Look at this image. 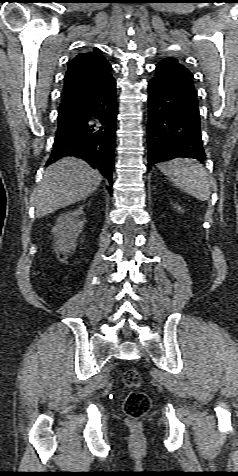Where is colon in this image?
I'll use <instances>...</instances> for the list:
<instances>
[{"mask_svg": "<svg viewBox=\"0 0 238 476\" xmlns=\"http://www.w3.org/2000/svg\"><path fill=\"white\" fill-rule=\"evenodd\" d=\"M123 383L127 388L139 387L141 383L140 373L133 368L127 369L123 373ZM150 406V398L145 392L131 391L124 400L123 410L129 418L137 420L149 411Z\"/></svg>", "mask_w": 238, "mask_h": 476, "instance_id": "obj_1", "label": "colon"}]
</instances>
